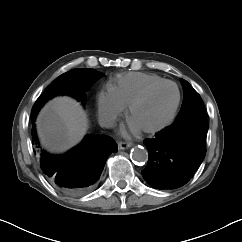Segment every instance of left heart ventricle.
<instances>
[{
	"label": "left heart ventricle",
	"mask_w": 242,
	"mask_h": 242,
	"mask_svg": "<svg viewBox=\"0 0 242 242\" xmlns=\"http://www.w3.org/2000/svg\"><path fill=\"white\" fill-rule=\"evenodd\" d=\"M177 100V92L172 85H163L155 90L146 101L132 113L131 123L138 129L154 128L170 116Z\"/></svg>",
	"instance_id": "left-heart-ventricle-1"
}]
</instances>
